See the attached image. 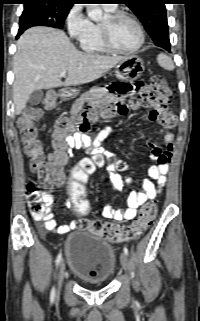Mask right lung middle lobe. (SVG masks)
<instances>
[{"mask_svg":"<svg viewBox=\"0 0 200 321\" xmlns=\"http://www.w3.org/2000/svg\"><path fill=\"white\" fill-rule=\"evenodd\" d=\"M72 6H62L55 2L34 1L24 4L19 20L18 36L33 26H49L62 29Z\"/></svg>","mask_w":200,"mask_h":321,"instance_id":"dd1d6c3e","label":"right lung middle lobe"}]
</instances>
